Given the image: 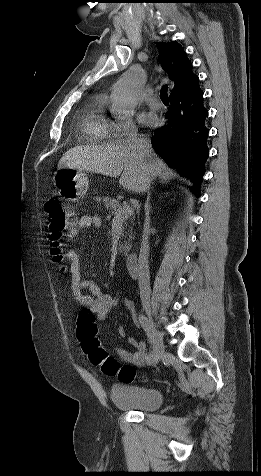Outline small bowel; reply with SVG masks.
Segmentation results:
<instances>
[{
	"label": "small bowel",
	"instance_id": "c3829d8e",
	"mask_svg": "<svg viewBox=\"0 0 261 476\" xmlns=\"http://www.w3.org/2000/svg\"><path fill=\"white\" fill-rule=\"evenodd\" d=\"M101 226V218L97 215H85L82 216L74 228L68 232V237H75L81 230L87 228H99ZM66 257L69 260L68 272L70 275V287L74 297L78 302L86 309L91 310L96 319L104 321L108 317L111 309L115 307L121 300L124 306L134 313L135 306L133 302L122 295L115 296L103 293L99 286L90 279H84L82 277V269L78 254L68 249L66 251ZM87 290L85 294L83 291ZM118 334L121 338L127 340V342L134 348V351H129L123 348H115V353L119 359L125 363L140 366L146 359V346L142 341H138L133 337H130L124 327L118 328Z\"/></svg>",
	"mask_w": 261,
	"mask_h": 476
}]
</instances>
